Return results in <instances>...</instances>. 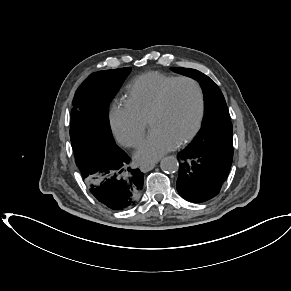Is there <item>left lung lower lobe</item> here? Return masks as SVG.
<instances>
[{"instance_id":"0a47b994","label":"left lung lower lobe","mask_w":291,"mask_h":291,"mask_svg":"<svg viewBox=\"0 0 291 291\" xmlns=\"http://www.w3.org/2000/svg\"><path fill=\"white\" fill-rule=\"evenodd\" d=\"M178 159V193L189 202L202 203L219 194L233 155L211 148L186 147L179 152Z\"/></svg>"}]
</instances>
